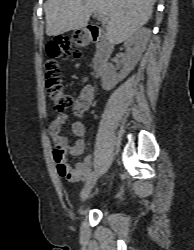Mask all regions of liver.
<instances>
[{"label":"liver","mask_w":194,"mask_h":250,"mask_svg":"<svg viewBox=\"0 0 194 250\" xmlns=\"http://www.w3.org/2000/svg\"><path fill=\"white\" fill-rule=\"evenodd\" d=\"M154 3L155 0H47L46 34L57 36L83 28L97 12L108 19V41L119 44L147 23Z\"/></svg>","instance_id":"1"}]
</instances>
